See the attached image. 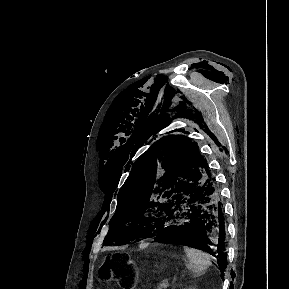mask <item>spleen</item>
Here are the masks:
<instances>
[{"label":"spleen","instance_id":"obj_1","mask_svg":"<svg viewBox=\"0 0 289 289\" xmlns=\"http://www.w3.org/2000/svg\"><path fill=\"white\" fill-rule=\"evenodd\" d=\"M188 258L187 268L196 275H201L211 265L210 256L194 248L184 246Z\"/></svg>","mask_w":289,"mask_h":289}]
</instances>
